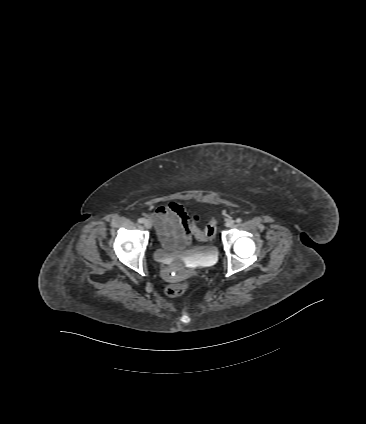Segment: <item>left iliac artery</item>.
I'll use <instances>...</instances> for the list:
<instances>
[{
  "instance_id": "1",
  "label": "left iliac artery",
  "mask_w": 366,
  "mask_h": 424,
  "mask_svg": "<svg viewBox=\"0 0 366 424\" xmlns=\"http://www.w3.org/2000/svg\"><path fill=\"white\" fill-rule=\"evenodd\" d=\"M236 222H237V223H241V222H242L241 218H237V219H236Z\"/></svg>"
}]
</instances>
